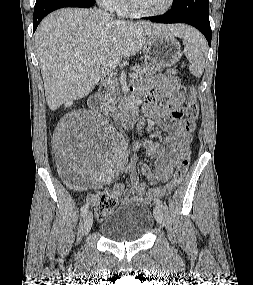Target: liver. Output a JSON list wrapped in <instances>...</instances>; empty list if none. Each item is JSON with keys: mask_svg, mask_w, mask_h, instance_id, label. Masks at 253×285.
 Listing matches in <instances>:
<instances>
[{"mask_svg": "<svg viewBox=\"0 0 253 285\" xmlns=\"http://www.w3.org/2000/svg\"><path fill=\"white\" fill-rule=\"evenodd\" d=\"M186 25L118 21L99 9L63 8L45 17L35 47L52 111L84 98L107 68L135 55L154 36L182 37Z\"/></svg>", "mask_w": 253, "mask_h": 285, "instance_id": "6515ba94", "label": "liver"}]
</instances>
